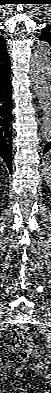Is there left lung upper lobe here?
Masks as SVG:
<instances>
[{
  "instance_id": "obj_1",
  "label": "left lung upper lobe",
  "mask_w": 51,
  "mask_h": 393,
  "mask_svg": "<svg viewBox=\"0 0 51 393\" xmlns=\"http://www.w3.org/2000/svg\"><path fill=\"white\" fill-rule=\"evenodd\" d=\"M39 38L41 41L48 42L51 46V24L42 29Z\"/></svg>"
}]
</instances>
